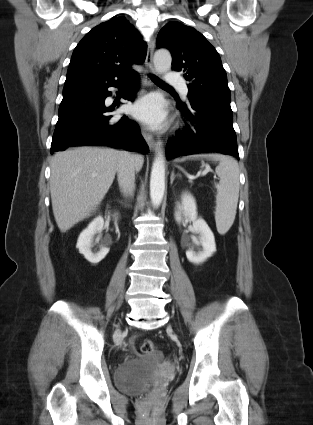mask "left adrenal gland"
Segmentation results:
<instances>
[{
	"label": "left adrenal gland",
	"mask_w": 313,
	"mask_h": 425,
	"mask_svg": "<svg viewBox=\"0 0 313 425\" xmlns=\"http://www.w3.org/2000/svg\"><path fill=\"white\" fill-rule=\"evenodd\" d=\"M178 176L180 177V174L175 175L174 171L171 172V176H170V184L171 185L173 184L174 179Z\"/></svg>",
	"instance_id": "a2214340"
}]
</instances>
